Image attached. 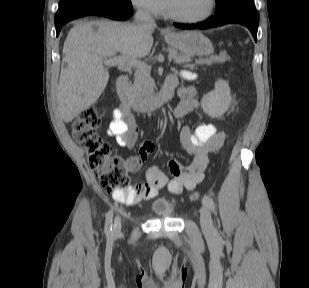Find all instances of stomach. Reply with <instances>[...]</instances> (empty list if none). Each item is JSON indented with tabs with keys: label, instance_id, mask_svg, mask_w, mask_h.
<instances>
[{
	"label": "stomach",
	"instance_id": "stomach-1",
	"mask_svg": "<svg viewBox=\"0 0 309 288\" xmlns=\"http://www.w3.org/2000/svg\"><path fill=\"white\" fill-rule=\"evenodd\" d=\"M165 41L189 56H207L213 52L211 41L199 31L171 32L165 35Z\"/></svg>",
	"mask_w": 309,
	"mask_h": 288
}]
</instances>
